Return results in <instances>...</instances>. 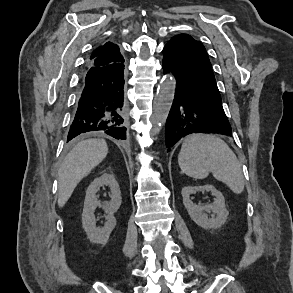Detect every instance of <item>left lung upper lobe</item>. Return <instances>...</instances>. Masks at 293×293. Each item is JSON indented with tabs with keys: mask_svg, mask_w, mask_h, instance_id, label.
Returning <instances> with one entry per match:
<instances>
[{
	"mask_svg": "<svg viewBox=\"0 0 293 293\" xmlns=\"http://www.w3.org/2000/svg\"><path fill=\"white\" fill-rule=\"evenodd\" d=\"M167 44L174 46L187 71L204 86L219 93L205 47L188 34H179Z\"/></svg>",
	"mask_w": 293,
	"mask_h": 293,
	"instance_id": "5c2ea615",
	"label": "left lung upper lobe"
}]
</instances>
